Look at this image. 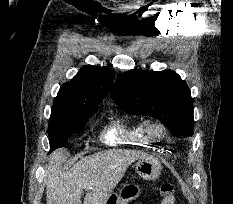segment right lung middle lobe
<instances>
[{
    "instance_id": "1",
    "label": "right lung middle lobe",
    "mask_w": 233,
    "mask_h": 204,
    "mask_svg": "<svg viewBox=\"0 0 233 204\" xmlns=\"http://www.w3.org/2000/svg\"><path fill=\"white\" fill-rule=\"evenodd\" d=\"M93 113L94 111L72 119L61 121L56 125H49L50 152L63 147L71 132H80L83 130L86 122Z\"/></svg>"
}]
</instances>
